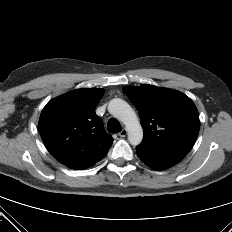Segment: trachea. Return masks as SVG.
Returning a JSON list of instances; mask_svg holds the SVG:
<instances>
[{
  "instance_id": "3493384b",
  "label": "trachea",
  "mask_w": 232,
  "mask_h": 232,
  "mask_svg": "<svg viewBox=\"0 0 232 232\" xmlns=\"http://www.w3.org/2000/svg\"><path fill=\"white\" fill-rule=\"evenodd\" d=\"M107 129L110 133H118L122 130V127L118 120L110 118L107 123Z\"/></svg>"
}]
</instances>
